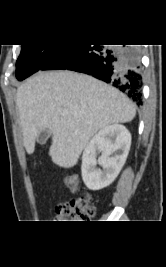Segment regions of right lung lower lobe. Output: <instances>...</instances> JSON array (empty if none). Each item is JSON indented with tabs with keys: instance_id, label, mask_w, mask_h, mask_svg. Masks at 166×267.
<instances>
[{
	"instance_id": "1",
	"label": "right lung lower lobe",
	"mask_w": 166,
	"mask_h": 267,
	"mask_svg": "<svg viewBox=\"0 0 166 267\" xmlns=\"http://www.w3.org/2000/svg\"><path fill=\"white\" fill-rule=\"evenodd\" d=\"M67 69L113 85L142 104V70L134 47L109 49L101 45H62L40 70Z\"/></svg>"
}]
</instances>
